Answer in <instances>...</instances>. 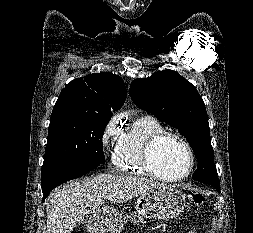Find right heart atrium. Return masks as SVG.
Instances as JSON below:
<instances>
[{
	"instance_id": "obj_1",
	"label": "right heart atrium",
	"mask_w": 253,
	"mask_h": 233,
	"mask_svg": "<svg viewBox=\"0 0 253 233\" xmlns=\"http://www.w3.org/2000/svg\"><path fill=\"white\" fill-rule=\"evenodd\" d=\"M121 118L113 117L105 126L102 134V145L107 148L118 136L120 131Z\"/></svg>"
}]
</instances>
